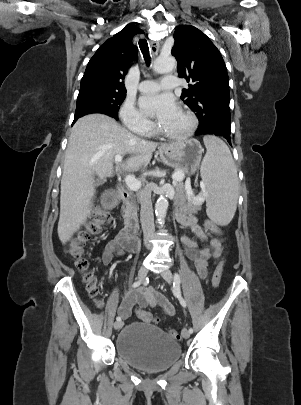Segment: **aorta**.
I'll return each mask as SVG.
<instances>
[{
	"mask_svg": "<svg viewBox=\"0 0 301 405\" xmlns=\"http://www.w3.org/2000/svg\"><path fill=\"white\" fill-rule=\"evenodd\" d=\"M176 67V62L173 57H160L153 65V69L157 73H170ZM168 197L167 195H160L155 204V214L159 224H163L166 217V212L168 209Z\"/></svg>",
	"mask_w": 301,
	"mask_h": 405,
	"instance_id": "aorta-1",
	"label": "aorta"
}]
</instances>
